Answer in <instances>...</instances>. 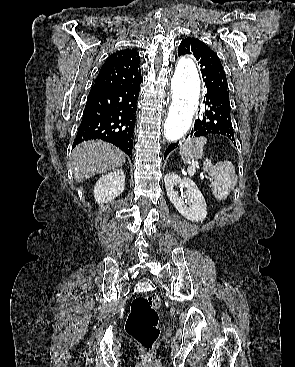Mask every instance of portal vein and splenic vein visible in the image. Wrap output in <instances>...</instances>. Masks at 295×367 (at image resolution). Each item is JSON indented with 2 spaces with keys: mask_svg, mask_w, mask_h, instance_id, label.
I'll use <instances>...</instances> for the list:
<instances>
[{
  "mask_svg": "<svg viewBox=\"0 0 295 367\" xmlns=\"http://www.w3.org/2000/svg\"><path fill=\"white\" fill-rule=\"evenodd\" d=\"M202 177H205V178L209 179L210 181H213V178H211V177H210V176H208V175H202Z\"/></svg>",
  "mask_w": 295,
  "mask_h": 367,
  "instance_id": "portal-vein-and-splenic-vein-1",
  "label": "portal vein and splenic vein"
}]
</instances>
